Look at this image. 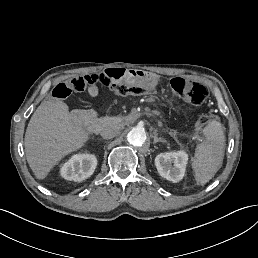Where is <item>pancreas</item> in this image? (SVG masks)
Returning <instances> with one entry per match:
<instances>
[{"mask_svg": "<svg viewBox=\"0 0 258 258\" xmlns=\"http://www.w3.org/2000/svg\"><path fill=\"white\" fill-rule=\"evenodd\" d=\"M152 119L154 120L157 124H162V117L161 115L158 113V112H155V111H150V110H133L131 112H128L126 113V116H119L117 119H116V123L119 125V126H122L125 121L127 123H130L132 120L134 119ZM97 122H102V123H106V120L105 119H100V120H97ZM169 134L171 136H175V134H177V131H171L169 132Z\"/></svg>", "mask_w": 258, "mask_h": 258, "instance_id": "pancreas-1", "label": "pancreas"}]
</instances>
